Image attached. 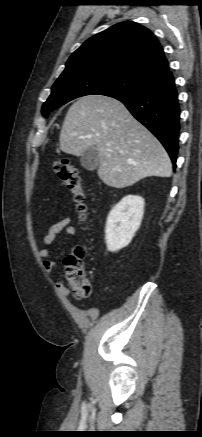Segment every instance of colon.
I'll return each mask as SVG.
<instances>
[{
	"label": "colon",
	"instance_id": "obj_1",
	"mask_svg": "<svg viewBox=\"0 0 202 437\" xmlns=\"http://www.w3.org/2000/svg\"><path fill=\"white\" fill-rule=\"evenodd\" d=\"M53 169L64 187L72 194L80 219L85 220L89 213V203L78 169L65 158L55 161ZM85 255V249L78 246L65 259V280L76 298H87L92 293V286L84 268Z\"/></svg>",
	"mask_w": 202,
	"mask_h": 437
}]
</instances>
